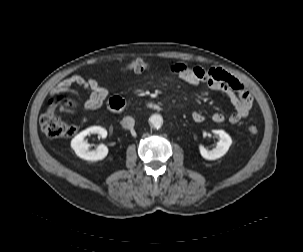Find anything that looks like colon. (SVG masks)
Returning <instances> with one entry per match:
<instances>
[{
    "label": "colon",
    "instance_id": "1",
    "mask_svg": "<svg viewBox=\"0 0 303 252\" xmlns=\"http://www.w3.org/2000/svg\"><path fill=\"white\" fill-rule=\"evenodd\" d=\"M150 66V63L139 59L123 65L122 68L123 70H132L138 72L148 69ZM61 105L73 106L75 105V102L65 94L52 97L48 100L47 109L41 116L40 125L42 131L49 138L68 137L76 132L74 126L65 123L57 115V109ZM248 132L250 135L255 136L259 132L258 125L255 123L250 124L248 127Z\"/></svg>",
    "mask_w": 303,
    "mask_h": 252
}]
</instances>
